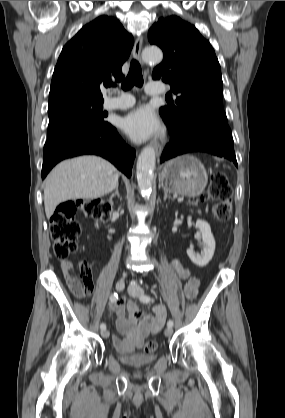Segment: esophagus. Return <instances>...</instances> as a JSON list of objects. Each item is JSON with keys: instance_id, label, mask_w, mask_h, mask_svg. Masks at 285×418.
<instances>
[{"instance_id": "obj_1", "label": "esophagus", "mask_w": 285, "mask_h": 418, "mask_svg": "<svg viewBox=\"0 0 285 418\" xmlns=\"http://www.w3.org/2000/svg\"><path fill=\"white\" fill-rule=\"evenodd\" d=\"M142 41H143L142 36H138V37L136 38V41H135V43H134V47H133V57H134L137 61H139L140 63L142 62V61H141ZM153 145H154V147H155L156 154H157V156L159 157V156L161 155V153H162V146L158 143V141H157V140H154V141H153Z\"/></svg>"}]
</instances>
